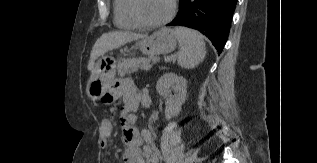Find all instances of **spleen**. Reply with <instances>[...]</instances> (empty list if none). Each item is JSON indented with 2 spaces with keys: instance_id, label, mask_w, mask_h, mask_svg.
Masks as SVG:
<instances>
[{
  "instance_id": "obj_1",
  "label": "spleen",
  "mask_w": 317,
  "mask_h": 163,
  "mask_svg": "<svg viewBox=\"0 0 317 163\" xmlns=\"http://www.w3.org/2000/svg\"><path fill=\"white\" fill-rule=\"evenodd\" d=\"M175 32L179 41L177 56L179 66L185 69L195 68L206 56L203 36L197 31L185 27H177Z\"/></svg>"
}]
</instances>
